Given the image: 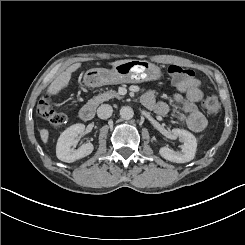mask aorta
I'll return each instance as SVG.
<instances>
[{
    "mask_svg": "<svg viewBox=\"0 0 245 245\" xmlns=\"http://www.w3.org/2000/svg\"><path fill=\"white\" fill-rule=\"evenodd\" d=\"M120 116L125 119V120H129L131 118H133L134 116V111L131 107L129 106H124L120 109Z\"/></svg>",
    "mask_w": 245,
    "mask_h": 245,
    "instance_id": "1",
    "label": "aorta"
}]
</instances>
